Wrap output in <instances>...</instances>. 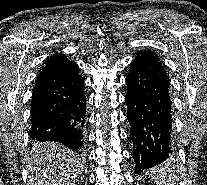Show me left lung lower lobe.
<instances>
[{"label": "left lung lower lobe", "instance_id": "obj_1", "mask_svg": "<svg viewBox=\"0 0 207 185\" xmlns=\"http://www.w3.org/2000/svg\"><path fill=\"white\" fill-rule=\"evenodd\" d=\"M126 84L127 119L138 174L173 155L170 84L169 79L143 66L130 68Z\"/></svg>", "mask_w": 207, "mask_h": 185}]
</instances>
